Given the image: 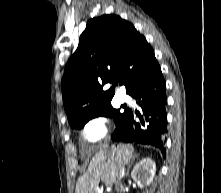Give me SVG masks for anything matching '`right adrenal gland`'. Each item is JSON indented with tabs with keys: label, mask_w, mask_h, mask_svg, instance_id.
Instances as JSON below:
<instances>
[{
	"label": "right adrenal gland",
	"mask_w": 221,
	"mask_h": 193,
	"mask_svg": "<svg viewBox=\"0 0 221 193\" xmlns=\"http://www.w3.org/2000/svg\"><path fill=\"white\" fill-rule=\"evenodd\" d=\"M137 156H138V155H135V156L132 158L131 162H129V164H128V170H127L125 176H128V175H129V169L131 168V165H132L133 161L135 160V158H136Z\"/></svg>",
	"instance_id": "1"
}]
</instances>
